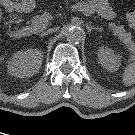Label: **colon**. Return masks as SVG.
<instances>
[{"label": "colon", "instance_id": "colon-1", "mask_svg": "<svg viewBox=\"0 0 135 135\" xmlns=\"http://www.w3.org/2000/svg\"><path fill=\"white\" fill-rule=\"evenodd\" d=\"M127 20L132 27H135V7H131L127 12Z\"/></svg>", "mask_w": 135, "mask_h": 135}]
</instances>
